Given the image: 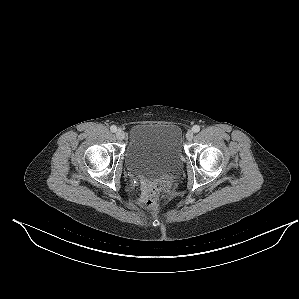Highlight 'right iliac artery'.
Wrapping results in <instances>:
<instances>
[{
    "label": "right iliac artery",
    "instance_id": "82829eb1",
    "mask_svg": "<svg viewBox=\"0 0 299 299\" xmlns=\"http://www.w3.org/2000/svg\"><path fill=\"white\" fill-rule=\"evenodd\" d=\"M110 130H111L112 132H116V131H117V127H116L115 125H112V126L110 127Z\"/></svg>",
    "mask_w": 299,
    "mask_h": 299
}]
</instances>
